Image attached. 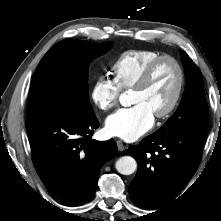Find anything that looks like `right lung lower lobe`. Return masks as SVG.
Wrapping results in <instances>:
<instances>
[{"instance_id": "right-lung-lower-lobe-1", "label": "right lung lower lobe", "mask_w": 221, "mask_h": 221, "mask_svg": "<svg viewBox=\"0 0 221 221\" xmlns=\"http://www.w3.org/2000/svg\"><path fill=\"white\" fill-rule=\"evenodd\" d=\"M33 164L49 191L67 204L89 201L102 165L113 158V139H91L99 122L95 116H71L40 111L26 116Z\"/></svg>"}]
</instances>
